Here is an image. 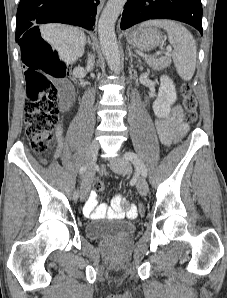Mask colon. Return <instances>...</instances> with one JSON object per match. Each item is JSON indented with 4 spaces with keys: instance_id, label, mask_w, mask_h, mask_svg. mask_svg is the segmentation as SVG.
<instances>
[{
    "instance_id": "colon-1",
    "label": "colon",
    "mask_w": 227,
    "mask_h": 298,
    "mask_svg": "<svg viewBox=\"0 0 227 298\" xmlns=\"http://www.w3.org/2000/svg\"><path fill=\"white\" fill-rule=\"evenodd\" d=\"M25 71L27 100L25 103V133L32 149L44 153L53 147V130L59 121L62 105L59 103V92L49 75H59L56 65L47 46L39 41L26 58ZM185 119L193 124L198 120L197 99L188 84L181 86ZM95 191H101L104 184L95 180L92 184ZM139 213H144L143 202H138ZM137 212H132L135 215Z\"/></svg>"
}]
</instances>
